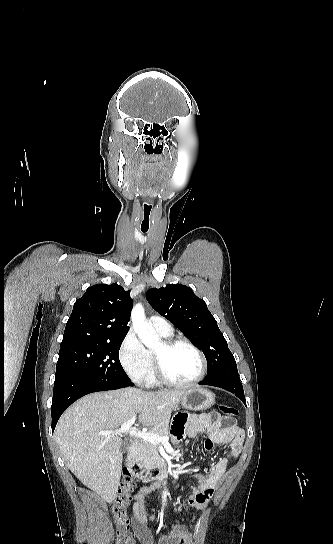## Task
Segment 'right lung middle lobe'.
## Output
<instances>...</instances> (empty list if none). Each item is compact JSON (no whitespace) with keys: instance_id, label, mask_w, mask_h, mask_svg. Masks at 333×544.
<instances>
[{"instance_id":"dd1d6c3e","label":"right lung middle lobe","mask_w":333,"mask_h":544,"mask_svg":"<svg viewBox=\"0 0 333 544\" xmlns=\"http://www.w3.org/2000/svg\"><path fill=\"white\" fill-rule=\"evenodd\" d=\"M123 338L60 348L56 374L74 373L93 380L131 382L119 360Z\"/></svg>"}]
</instances>
